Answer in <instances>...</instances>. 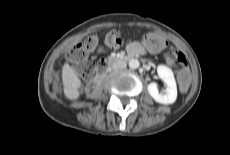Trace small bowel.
Listing matches in <instances>:
<instances>
[{"mask_svg":"<svg viewBox=\"0 0 230 155\" xmlns=\"http://www.w3.org/2000/svg\"><path fill=\"white\" fill-rule=\"evenodd\" d=\"M160 49H161V47L155 46L146 40H145L144 45H141L138 42H132L128 45V51L135 52L136 54H143L146 51H148L150 53H157L160 51Z\"/></svg>","mask_w":230,"mask_h":155,"instance_id":"1","label":"small bowel"}]
</instances>
